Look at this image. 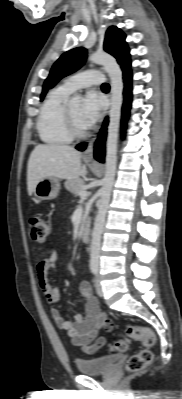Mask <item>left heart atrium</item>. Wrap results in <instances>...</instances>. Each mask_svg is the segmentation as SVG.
<instances>
[{
    "label": "left heart atrium",
    "instance_id": "39dd6f15",
    "mask_svg": "<svg viewBox=\"0 0 182 399\" xmlns=\"http://www.w3.org/2000/svg\"><path fill=\"white\" fill-rule=\"evenodd\" d=\"M104 108L103 98L95 93L89 92L83 102L81 110V120L86 128L91 127L97 120L100 119Z\"/></svg>",
    "mask_w": 182,
    "mask_h": 399
}]
</instances>
